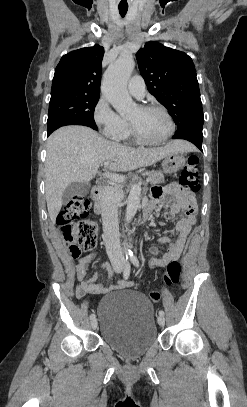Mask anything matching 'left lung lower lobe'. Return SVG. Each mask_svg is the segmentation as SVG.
I'll return each mask as SVG.
<instances>
[{
    "instance_id": "0a47b994",
    "label": "left lung lower lobe",
    "mask_w": 247,
    "mask_h": 407,
    "mask_svg": "<svg viewBox=\"0 0 247 407\" xmlns=\"http://www.w3.org/2000/svg\"><path fill=\"white\" fill-rule=\"evenodd\" d=\"M203 125L195 124L186 128H183L179 131H176L173 139H185L193 143L198 149L202 150V140H203V133H202Z\"/></svg>"
}]
</instances>
